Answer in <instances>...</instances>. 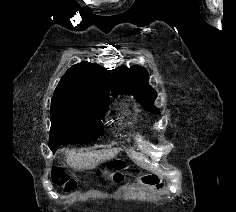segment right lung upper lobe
<instances>
[{
	"label": "right lung upper lobe",
	"instance_id": "cb5924a9",
	"mask_svg": "<svg viewBox=\"0 0 236 212\" xmlns=\"http://www.w3.org/2000/svg\"><path fill=\"white\" fill-rule=\"evenodd\" d=\"M110 71L83 61L67 70L56 87L51 104L93 106L109 99Z\"/></svg>",
	"mask_w": 236,
	"mask_h": 212
}]
</instances>
